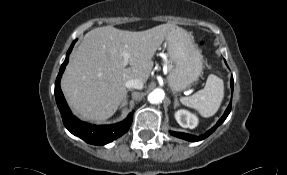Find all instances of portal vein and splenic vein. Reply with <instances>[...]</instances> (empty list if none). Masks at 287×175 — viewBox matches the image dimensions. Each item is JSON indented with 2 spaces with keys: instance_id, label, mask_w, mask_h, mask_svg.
Masks as SVG:
<instances>
[{
  "instance_id": "obj_1",
  "label": "portal vein and splenic vein",
  "mask_w": 287,
  "mask_h": 175,
  "mask_svg": "<svg viewBox=\"0 0 287 175\" xmlns=\"http://www.w3.org/2000/svg\"><path fill=\"white\" fill-rule=\"evenodd\" d=\"M130 55L126 52L123 53V60H124V65L126 66L128 63V59H129Z\"/></svg>"
}]
</instances>
